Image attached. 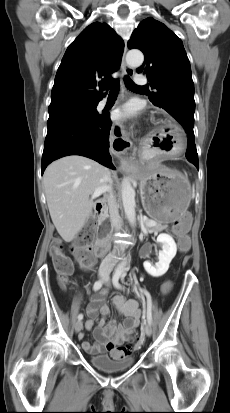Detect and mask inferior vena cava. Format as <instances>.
<instances>
[{"label": "inferior vena cava", "instance_id": "1", "mask_svg": "<svg viewBox=\"0 0 230 413\" xmlns=\"http://www.w3.org/2000/svg\"><path fill=\"white\" fill-rule=\"evenodd\" d=\"M105 181L108 183H111V173L108 172L105 175ZM107 202L109 206V214H110V222L111 226L115 228V230H120L122 226V221L119 218V211H118V204L116 201V198L112 195L109 194L107 197ZM116 262L115 259V250L113 251L112 254H109L101 263L99 272H105V273H110L113 269L114 263Z\"/></svg>", "mask_w": 230, "mask_h": 413}]
</instances>
